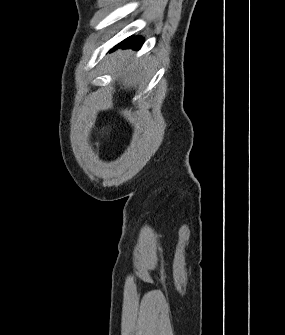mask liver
<instances>
[{"instance_id":"obj_1","label":"liver","mask_w":285,"mask_h":335,"mask_svg":"<svg viewBox=\"0 0 285 335\" xmlns=\"http://www.w3.org/2000/svg\"><path fill=\"white\" fill-rule=\"evenodd\" d=\"M134 52L131 50H125V52H118L114 60L115 74L117 78H120L119 82H122L124 90H130L133 86H146V82L151 72L150 66L142 62L138 68H135L131 58H133Z\"/></svg>"}]
</instances>
